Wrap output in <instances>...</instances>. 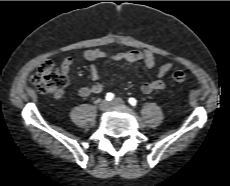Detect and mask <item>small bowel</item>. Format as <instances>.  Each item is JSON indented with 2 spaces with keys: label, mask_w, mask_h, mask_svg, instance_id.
Returning <instances> with one entry per match:
<instances>
[{
  "label": "small bowel",
  "mask_w": 230,
  "mask_h": 186,
  "mask_svg": "<svg viewBox=\"0 0 230 186\" xmlns=\"http://www.w3.org/2000/svg\"><path fill=\"white\" fill-rule=\"evenodd\" d=\"M84 59L87 61L96 60H109V61H124L129 67H132L137 62H142L147 68H153L156 64L154 54L150 50H130L122 53L110 54L100 49H88L83 53ZM73 65V59L71 57H65L61 64V69L64 74L71 77V67ZM173 68V64L170 62L162 64L156 71L157 79L153 81H147L142 84L141 91L144 94H150L155 91H161L165 88V83L162 80L164 76ZM90 75L93 79V83L90 86L80 87L78 94L81 97H88L92 94H100L104 91V85L101 82L98 69L95 65H90ZM62 93L57 94L56 97H61Z\"/></svg>",
  "instance_id": "c3829d8e"
}]
</instances>
